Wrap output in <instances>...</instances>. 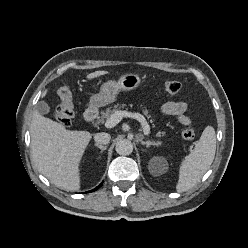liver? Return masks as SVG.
I'll return each instance as SVG.
<instances>
[{
  "mask_svg": "<svg viewBox=\"0 0 248 248\" xmlns=\"http://www.w3.org/2000/svg\"><path fill=\"white\" fill-rule=\"evenodd\" d=\"M108 74L95 71L91 80ZM46 92L43 94L45 96ZM31 155L38 171L61 189L80 188L79 164L92 138L88 131L67 130L63 125L34 111L30 125Z\"/></svg>",
  "mask_w": 248,
  "mask_h": 248,
  "instance_id": "1",
  "label": "liver"
}]
</instances>
